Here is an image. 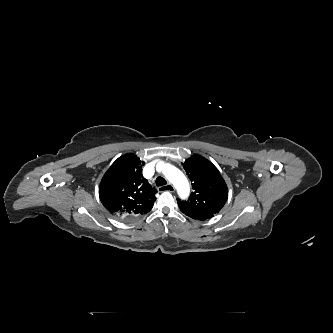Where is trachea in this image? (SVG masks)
<instances>
[{
  "instance_id": "3493384b",
  "label": "trachea",
  "mask_w": 333,
  "mask_h": 333,
  "mask_svg": "<svg viewBox=\"0 0 333 333\" xmlns=\"http://www.w3.org/2000/svg\"><path fill=\"white\" fill-rule=\"evenodd\" d=\"M155 182L157 186H163L167 184L166 180L163 177H157Z\"/></svg>"
}]
</instances>
